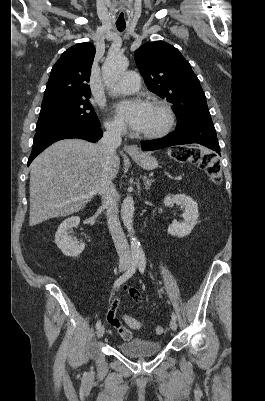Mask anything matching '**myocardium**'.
Here are the masks:
<instances>
[{
  "label": "myocardium",
  "mask_w": 265,
  "mask_h": 401,
  "mask_svg": "<svg viewBox=\"0 0 265 401\" xmlns=\"http://www.w3.org/2000/svg\"><path fill=\"white\" fill-rule=\"evenodd\" d=\"M149 105L155 106L163 113V121L161 125L154 131L141 133L143 138H156L167 132L174 122V112L172 108L163 100H152Z\"/></svg>",
  "instance_id": "myocardium-1"
}]
</instances>
